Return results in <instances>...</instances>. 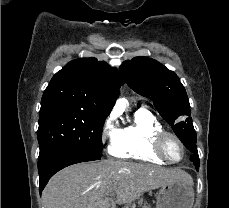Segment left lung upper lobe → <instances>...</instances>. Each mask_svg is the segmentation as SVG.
Listing matches in <instances>:
<instances>
[{
	"mask_svg": "<svg viewBox=\"0 0 229 208\" xmlns=\"http://www.w3.org/2000/svg\"><path fill=\"white\" fill-rule=\"evenodd\" d=\"M120 70L130 88L151 97L157 111L182 143L196 141L188 96L174 72L147 57L125 61Z\"/></svg>",
	"mask_w": 229,
	"mask_h": 208,
	"instance_id": "left-lung-upper-lobe-1",
	"label": "left lung upper lobe"
}]
</instances>
